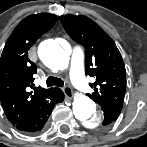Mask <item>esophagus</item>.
Masks as SVG:
<instances>
[{"label": "esophagus", "instance_id": "esophagus-1", "mask_svg": "<svg viewBox=\"0 0 147 147\" xmlns=\"http://www.w3.org/2000/svg\"><path fill=\"white\" fill-rule=\"evenodd\" d=\"M62 90H63L66 97H68L70 99L74 97V92L71 89V87L65 86V87L62 88Z\"/></svg>", "mask_w": 147, "mask_h": 147}]
</instances>
